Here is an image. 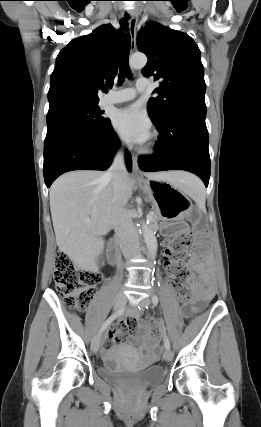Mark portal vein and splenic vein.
Returning <instances> with one entry per match:
<instances>
[{"label": "portal vein and splenic vein", "instance_id": "portal-vein-and-splenic-vein-1", "mask_svg": "<svg viewBox=\"0 0 261 427\" xmlns=\"http://www.w3.org/2000/svg\"><path fill=\"white\" fill-rule=\"evenodd\" d=\"M147 218H150V213L147 215Z\"/></svg>", "mask_w": 261, "mask_h": 427}]
</instances>
